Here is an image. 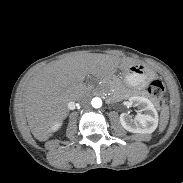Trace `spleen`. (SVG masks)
Instances as JSON below:
<instances>
[{"label":"spleen","mask_w":183,"mask_h":183,"mask_svg":"<svg viewBox=\"0 0 183 183\" xmlns=\"http://www.w3.org/2000/svg\"><path fill=\"white\" fill-rule=\"evenodd\" d=\"M169 120V108L168 106H164L161 110V115H160V128L159 131L163 132L168 124Z\"/></svg>","instance_id":"1"}]
</instances>
